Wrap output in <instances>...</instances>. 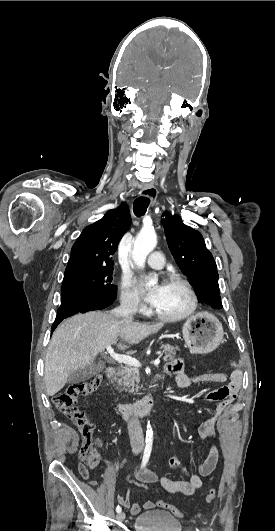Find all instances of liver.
Listing matches in <instances>:
<instances>
[{
    "mask_svg": "<svg viewBox=\"0 0 275 531\" xmlns=\"http://www.w3.org/2000/svg\"><path fill=\"white\" fill-rule=\"evenodd\" d=\"M162 327L164 323L148 325L133 323L132 319H117L109 311H91L66 319L54 331L46 353L44 381L47 395H56L65 387L70 373L92 365L95 357L118 339L137 345ZM117 347L128 349L122 343Z\"/></svg>",
    "mask_w": 275,
    "mask_h": 531,
    "instance_id": "6515ba94",
    "label": "liver"
}]
</instances>
